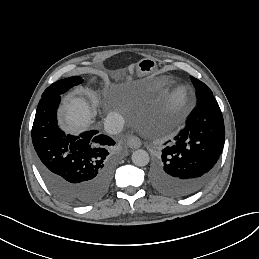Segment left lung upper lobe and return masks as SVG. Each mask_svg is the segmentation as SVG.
<instances>
[{"label": "left lung upper lobe", "instance_id": "obj_1", "mask_svg": "<svg viewBox=\"0 0 259 259\" xmlns=\"http://www.w3.org/2000/svg\"><path fill=\"white\" fill-rule=\"evenodd\" d=\"M191 80L197 90V96L204 94V93H212V91L210 90V88L204 84L203 82H201L200 80L194 78L191 76Z\"/></svg>", "mask_w": 259, "mask_h": 259}]
</instances>
